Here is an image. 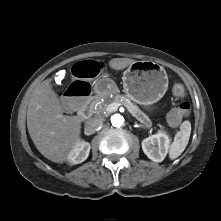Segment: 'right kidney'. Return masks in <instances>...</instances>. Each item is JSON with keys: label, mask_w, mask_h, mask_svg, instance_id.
<instances>
[{"label": "right kidney", "mask_w": 221, "mask_h": 221, "mask_svg": "<svg viewBox=\"0 0 221 221\" xmlns=\"http://www.w3.org/2000/svg\"><path fill=\"white\" fill-rule=\"evenodd\" d=\"M90 144L85 141H78L68 155V162L72 165L85 161L90 152Z\"/></svg>", "instance_id": "ca27d5eb"}]
</instances>
